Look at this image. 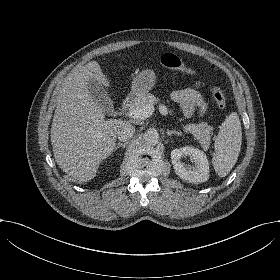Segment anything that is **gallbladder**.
Instances as JSON below:
<instances>
[{
    "mask_svg": "<svg viewBox=\"0 0 280 280\" xmlns=\"http://www.w3.org/2000/svg\"><path fill=\"white\" fill-rule=\"evenodd\" d=\"M88 86L89 95L91 96L92 100L103 110V112L108 116H117L112 99L106 89L103 87L102 83L98 80L89 78Z\"/></svg>",
    "mask_w": 280,
    "mask_h": 280,
    "instance_id": "gallbladder-1",
    "label": "gallbladder"
}]
</instances>
